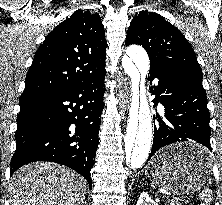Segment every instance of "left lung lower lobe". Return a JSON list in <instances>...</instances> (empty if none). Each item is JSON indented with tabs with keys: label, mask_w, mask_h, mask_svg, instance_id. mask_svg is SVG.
<instances>
[{
	"label": "left lung lower lobe",
	"mask_w": 222,
	"mask_h": 205,
	"mask_svg": "<svg viewBox=\"0 0 222 205\" xmlns=\"http://www.w3.org/2000/svg\"><path fill=\"white\" fill-rule=\"evenodd\" d=\"M151 80L159 79L154 86L159 102L165 107V119L154 123V139L148 160L163 146L180 141H195L211 151L209 126L210 113L207 96L199 79L186 70L163 64L150 66ZM208 150L186 151L176 161L183 165L209 163Z\"/></svg>",
	"instance_id": "0a47b994"
}]
</instances>
